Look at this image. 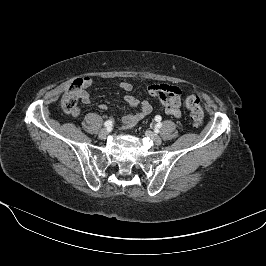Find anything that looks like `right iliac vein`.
<instances>
[{
    "instance_id": "1",
    "label": "right iliac vein",
    "mask_w": 266,
    "mask_h": 266,
    "mask_svg": "<svg viewBox=\"0 0 266 266\" xmlns=\"http://www.w3.org/2000/svg\"><path fill=\"white\" fill-rule=\"evenodd\" d=\"M108 135V130L106 128L101 129L99 132V138L100 139H105Z\"/></svg>"
}]
</instances>
